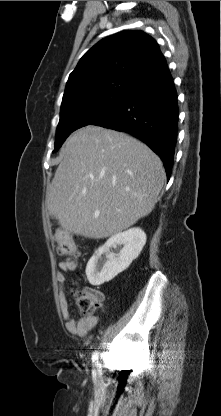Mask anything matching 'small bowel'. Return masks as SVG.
Here are the masks:
<instances>
[{
  "label": "small bowel",
  "mask_w": 221,
  "mask_h": 416,
  "mask_svg": "<svg viewBox=\"0 0 221 416\" xmlns=\"http://www.w3.org/2000/svg\"><path fill=\"white\" fill-rule=\"evenodd\" d=\"M59 271L56 274L58 284V299L63 319L66 323V329L69 333L80 337H85L98 323L96 316L72 318L69 310V303L65 291L66 272L74 271L78 267V262L65 260L58 263ZM100 295L101 293L98 292ZM102 298V295H101Z\"/></svg>",
  "instance_id": "c3829d8e"
}]
</instances>
